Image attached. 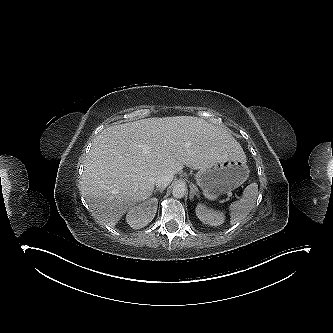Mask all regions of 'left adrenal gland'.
Listing matches in <instances>:
<instances>
[{
	"mask_svg": "<svg viewBox=\"0 0 333 333\" xmlns=\"http://www.w3.org/2000/svg\"><path fill=\"white\" fill-rule=\"evenodd\" d=\"M197 196L198 198L200 197L199 194L195 191V189L193 187H191L190 189V195H189V198L190 200H192L194 198V196Z\"/></svg>",
	"mask_w": 333,
	"mask_h": 333,
	"instance_id": "obj_1",
	"label": "left adrenal gland"
}]
</instances>
